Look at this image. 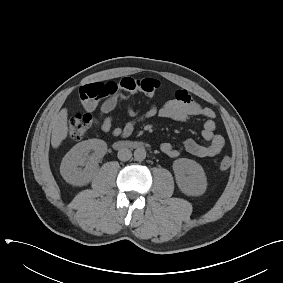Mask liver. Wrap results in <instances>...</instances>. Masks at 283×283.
<instances>
[{"instance_id": "liver-1", "label": "liver", "mask_w": 283, "mask_h": 283, "mask_svg": "<svg viewBox=\"0 0 283 283\" xmlns=\"http://www.w3.org/2000/svg\"><path fill=\"white\" fill-rule=\"evenodd\" d=\"M68 112L66 108H63L55 117L53 118L52 125V135H51V145L53 148H58L62 141L67 137L68 134Z\"/></svg>"}]
</instances>
